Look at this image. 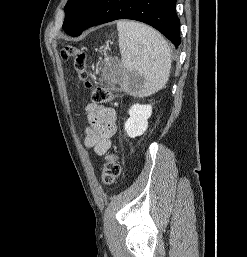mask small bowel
I'll list each match as a JSON object with an SVG mask.
<instances>
[{
	"label": "small bowel",
	"mask_w": 247,
	"mask_h": 257,
	"mask_svg": "<svg viewBox=\"0 0 247 257\" xmlns=\"http://www.w3.org/2000/svg\"><path fill=\"white\" fill-rule=\"evenodd\" d=\"M86 116L89 126L85 130L84 145L97 155H104L116 132V111L112 107L90 104L86 107Z\"/></svg>",
	"instance_id": "1"
}]
</instances>
